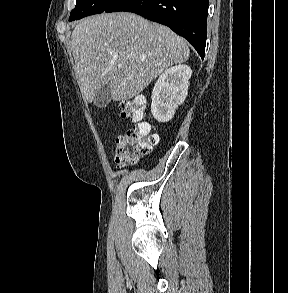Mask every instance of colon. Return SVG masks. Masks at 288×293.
<instances>
[{"instance_id": "1", "label": "colon", "mask_w": 288, "mask_h": 293, "mask_svg": "<svg viewBox=\"0 0 288 293\" xmlns=\"http://www.w3.org/2000/svg\"><path fill=\"white\" fill-rule=\"evenodd\" d=\"M120 114L123 119L134 122V126L116 140L115 161L119 167H123L137 162L142 155L148 153L158 143L159 136L143 120L145 101L141 97L123 102Z\"/></svg>"}]
</instances>
